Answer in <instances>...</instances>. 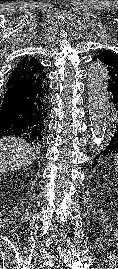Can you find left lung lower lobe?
Listing matches in <instances>:
<instances>
[{
    "mask_svg": "<svg viewBox=\"0 0 118 269\" xmlns=\"http://www.w3.org/2000/svg\"><path fill=\"white\" fill-rule=\"evenodd\" d=\"M110 103L109 115L107 120L106 135L101 143L99 157L105 158L112 155H118V96L110 95L108 99ZM97 162L92 164V168Z\"/></svg>",
    "mask_w": 118,
    "mask_h": 269,
    "instance_id": "left-lung-lower-lobe-1",
    "label": "left lung lower lobe"
}]
</instances>
